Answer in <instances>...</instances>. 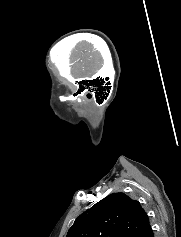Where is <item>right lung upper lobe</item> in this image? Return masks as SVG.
Returning a JSON list of instances; mask_svg holds the SVG:
<instances>
[{
    "label": "right lung upper lobe",
    "mask_w": 181,
    "mask_h": 237,
    "mask_svg": "<svg viewBox=\"0 0 181 237\" xmlns=\"http://www.w3.org/2000/svg\"><path fill=\"white\" fill-rule=\"evenodd\" d=\"M140 203L125 193H113L75 220L66 237H153Z\"/></svg>",
    "instance_id": "right-lung-upper-lobe-1"
}]
</instances>
